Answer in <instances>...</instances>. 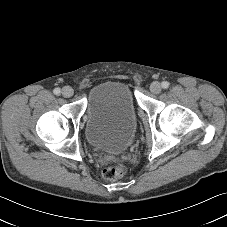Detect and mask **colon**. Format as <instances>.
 I'll return each instance as SVG.
<instances>
[{
  "label": "colon",
  "instance_id": "1",
  "mask_svg": "<svg viewBox=\"0 0 227 227\" xmlns=\"http://www.w3.org/2000/svg\"><path fill=\"white\" fill-rule=\"evenodd\" d=\"M102 175H103V178L108 181H115L122 177L123 169L122 167L117 165L108 166L103 169Z\"/></svg>",
  "mask_w": 227,
  "mask_h": 227
}]
</instances>
